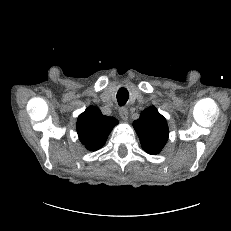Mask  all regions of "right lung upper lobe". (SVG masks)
<instances>
[{
  "mask_svg": "<svg viewBox=\"0 0 231 231\" xmlns=\"http://www.w3.org/2000/svg\"><path fill=\"white\" fill-rule=\"evenodd\" d=\"M117 124L118 120L114 117L104 116L99 108L90 106L77 119V133L82 144L95 151L103 147Z\"/></svg>",
  "mask_w": 231,
  "mask_h": 231,
  "instance_id": "right-lung-upper-lobe-1",
  "label": "right lung upper lobe"
}]
</instances>
